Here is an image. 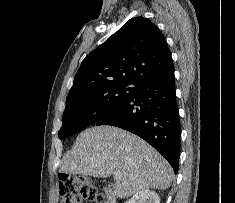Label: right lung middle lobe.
I'll list each match as a JSON object with an SVG mask.
<instances>
[{"label": "right lung middle lobe", "instance_id": "dd1d6c3e", "mask_svg": "<svg viewBox=\"0 0 235 203\" xmlns=\"http://www.w3.org/2000/svg\"><path fill=\"white\" fill-rule=\"evenodd\" d=\"M138 85L139 83L129 80H111L69 93L59 138L76 134L107 116L122 105Z\"/></svg>", "mask_w": 235, "mask_h": 203}]
</instances>
